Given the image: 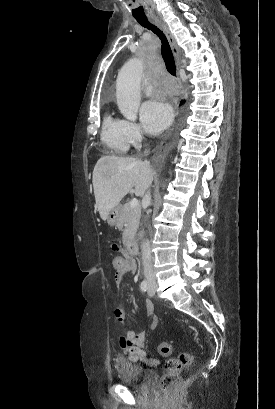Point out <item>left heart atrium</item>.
Returning <instances> with one entry per match:
<instances>
[{
  "label": "left heart atrium",
  "instance_id": "1",
  "mask_svg": "<svg viewBox=\"0 0 275 409\" xmlns=\"http://www.w3.org/2000/svg\"><path fill=\"white\" fill-rule=\"evenodd\" d=\"M141 118L151 133L158 134L171 123L172 110L161 100L148 101L141 108Z\"/></svg>",
  "mask_w": 275,
  "mask_h": 409
}]
</instances>
